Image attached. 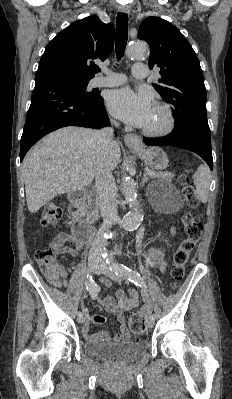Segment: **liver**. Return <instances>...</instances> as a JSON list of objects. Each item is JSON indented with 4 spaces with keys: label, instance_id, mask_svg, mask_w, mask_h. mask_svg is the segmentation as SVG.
<instances>
[{
    "label": "liver",
    "instance_id": "6515ba94",
    "mask_svg": "<svg viewBox=\"0 0 232 399\" xmlns=\"http://www.w3.org/2000/svg\"><path fill=\"white\" fill-rule=\"evenodd\" d=\"M93 134L95 130L86 128H62L29 150L22 162V176L31 213L55 196L87 188L101 164L109 170L117 168L119 144L104 148Z\"/></svg>",
    "mask_w": 232,
    "mask_h": 399
}]
</instances>
